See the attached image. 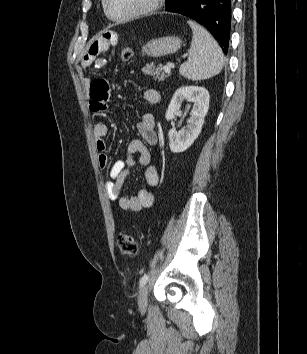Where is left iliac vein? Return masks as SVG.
<instances>
[{"label":"left iliac vein","instance_id":"1","mask_svg":"<svg viewBox=\"0 0 307 354\" xmlns=\"http://www.w3.org/2000/svg\"><path fill=\"white\" fill-rule=\"evenodd\" d=\"M147 303H148V288L147 286H144L140 292H139V297H138V304L141 312H145L147 308Z\"/></svg>","mask_w":307,"mask_h":354}]
</instances>
